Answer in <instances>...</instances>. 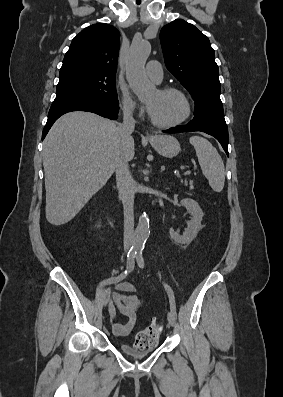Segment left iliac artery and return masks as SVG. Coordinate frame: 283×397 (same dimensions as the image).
<instances>
[{
  "label": "left iliac artery",
  "mask_w": 283,
  "mask_h": 397,
  "mask_svg": "<svg viewBox=\"0 0 283 397\" xmlns=\"http://www.w3.org/2000/svg\"><path fill=\"white\" fill-rule=\"evenodd\" d=\"M136 261L137 264L140 268H144V258H143V254L142 251H138L136 254ZM165 290L167 291V294L169 296V302H170V310L176 314V306H175V299H174V294L172 289L170 288V286H168L167 284H164Z\"/></svg>",
  "instance_id": "44dca946"
}]
</instances>
